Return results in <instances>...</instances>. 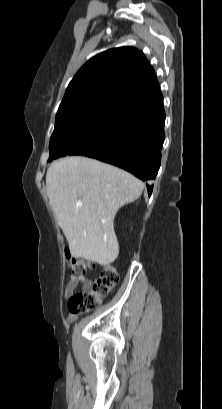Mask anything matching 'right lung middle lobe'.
<instances>
[{
    "label": "right lung middle lobe",
    "mask_w": 222,
    "mask_h": 409,
    "mask_svg": "<svg viewBox=\"0 0 222 409\" xmlns=\"http://www.w3.org/2000/svg\"><path fill=\"white\" fill-rule=\"evenodd\" d=\"M118 103H98L66 108L57 112L50 138V157L87 155L102 143L113 117L122 108Z\"/></svg>",
    "instance_id": "right-lung-middle-lobe-1"
}]
</instances>
